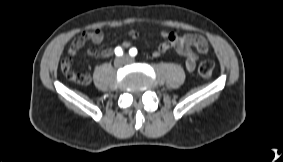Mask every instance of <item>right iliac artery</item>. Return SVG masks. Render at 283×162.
I'll return each instance as SVG.
<instances>
[{"label":"right iliac artery","mask_w":283,"mask_h":162,"mask_svg":"<svg viewBox=\"0 0 283 162\" xmlns=\"http://www.w3.org/2000/svg\"><path fill=\"white\" fill-rule=\"evenodd\" d=\"M115 54L117 56H121L123 54L122 48L121 47H116L115 48Z\"/></svg>","instance_id":"1"}]
</instances>
